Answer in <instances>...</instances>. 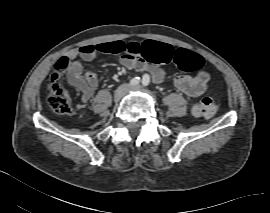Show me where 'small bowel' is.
Returning <instances> with one entry per match:
<instances>
[{"instance_id": "1", "label": "small bowel", "mask_w": 270, "mask_h": 213, "mask_svg": "<svg viewBox=\"0 0 270 213\" xmlns=\"http://www.w3.org/2000/svg\"><path fill=\"white\" fill-rule=\"evenodd\" d=\"M103 45L104 44L82 45L69 51L64 61L58 62L59 68L64 66L69 85L80 91L81 99L84 102L90 100L94 95V91L98 86V78L93 72L85 70L82 61H92L108 54V52L104 51ZM148 49L149 56L161 63L171 61L178 53L171 45L160 42L149 43ZM184 51L188 52L187 50ZM120 62L124 67L130 70L148 69L155 83L162 82L164 78V71L158 65L146 64L144 61L136 60L129 55L122 56ZM209 80V74L206 71H201L194 76H175L173 78V84L186 95L197 97L206 91Z\"/></svg>"}]
</instances>
